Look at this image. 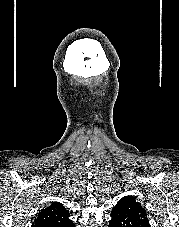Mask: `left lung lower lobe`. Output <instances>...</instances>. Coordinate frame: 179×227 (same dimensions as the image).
<instances>
[{
    "label": "left lung lower lobe",
    "instance_id": "0a47b994",
    "mask_svg": "<svg viewBox=\"0 0 179 227\" xmlns=\"http://www.w3.org/2000/svg\"><path fill=\"white\" fill-rule=\"evenodd\" d=\"M108 227H114L113 223L109 222Z\"/></svg>",
    "mask_w": 179,
    "mask_h": 227
}]
</instances>
